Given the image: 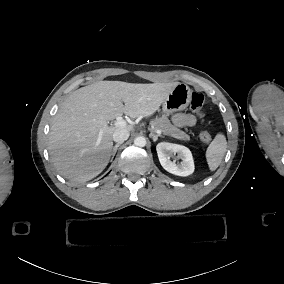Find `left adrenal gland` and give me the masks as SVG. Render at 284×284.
<instances>
[{
    "label": "left adrenal gland",
    "instance_id": "1",
    "mask_svg": "<svg viewBox=\"0 0 284 284\" xmlns=\"http://www.w3.org/2000/svg\"><path fill=\"white\" fill-rule=\"evenodd\" d=\"M149 137L153 138L154 142L157 141L158 137L164 138L163 135L156 134L153 130H151V133L149 134Z\"/></svg>",
    "mask_w": 284,
    "mask_h": 284
}]
</instances>
